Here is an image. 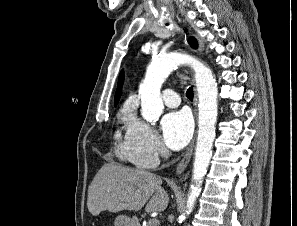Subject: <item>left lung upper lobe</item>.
Listing matches in <instances>:
<instances>
[{
	"label": "left lung upper lobe",
	"mask_w": 297,
	"mask_h": 226,
	"mask_svg": "<svg viewBox=\"0 0 297 226\" xmlns=\"http://www.w3.org/2000/svg\"><path fill=\"white\" fill-rule=\"evenodd\" d=\"M189 43H190V45L193 46V47H196V46H197V42H196V40H195L194 38H190V39H189Z\"/></svg>",
	"instance_id": "1"
}]
</instances>
